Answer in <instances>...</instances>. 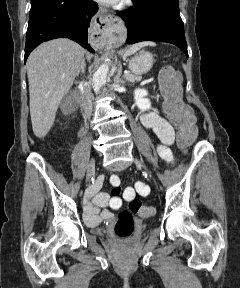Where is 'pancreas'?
<instances>
[{
  "mask_svg": "<svg viewBox=\"0 0 240 288\" xmlns=\"http://www.w3.org/2000/svg\"><path fill=\"white\" fill-rule=\"evenodd\" d=\"M125 79L128 82H135V81H138L140 79V77L129 74V75L125 76Z\"/></svg>",
  "mask_w": 240,
  "mask_h": 288,
  "instance_id": "pancreas-1",
  "label": "pancreas"
}]
</instances>
